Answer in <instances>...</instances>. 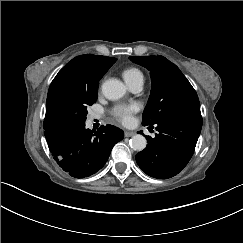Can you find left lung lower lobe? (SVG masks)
I'll return each instance as SVG.
<instances>
[{
    "mask_svg": "<svg viewBox=\"0 0 243 243\" xmlns=\"http://www.w3.org/2000/svg\"><path fill=\"white\" fill-rule=\"evenodd\" d=\"M155 138L146 136L147 147L136 154L143 172L157 179L177 175L191 159L202 128V117L180 114L156 124Z\"/></svg>",
    "mask_w": 243,
    "mask_h": 243,
    "instance_id": "left-lung-lower-lobe-1",
    "label": "left lung lower lobe"
}]
</instances>
